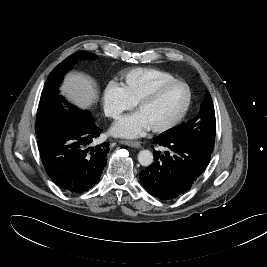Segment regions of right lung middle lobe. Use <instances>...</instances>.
I'll list each match as a JSON object with an SVG mask.
<instances>
[{"instance_id": "dd1d6c3e", "label": "right lung middle lobe", "mask_w": 267, "mask_h": 267, "mask_svg": "<svg viewBox=\"0 0 267 267\" xmlns=\"http://www.w3.org/2000/svg\"><path fill=\"white\" fill-rule=\"evenodd\" d=\"M95 56L93 53L79 51L66 58L50 72L44 84L37 111L35 130L38 139L46 135L55 126L56 122L69 120L72 123H81L82 120L91 119L88 111H82L68 104L58 93L60 83L69 69L79 59H93ZM63 102L67 105V108H64Z\"/></svg>"}]
</instances>
